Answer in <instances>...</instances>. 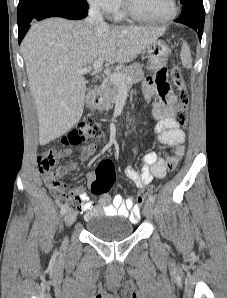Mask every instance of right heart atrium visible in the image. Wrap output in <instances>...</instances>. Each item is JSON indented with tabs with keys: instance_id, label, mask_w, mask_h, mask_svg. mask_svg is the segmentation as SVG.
I'll return each instance as SVG.
<instances>
[{
	"instance_id": "right-heart-atrium-1",
	"label": "right heart atrium",
	"mask_w": 227,
	"mask_h": 298,
	"mask_svg": "<svg viewBox=\"0 0 227 298\" xmlns=\"http://www.w3.org/2000/svg\"><path fill=\"white\" fill-rule=\"evenodd\" d=\"M91 7L104 13L116 14L121 6L120 0H87Z\"/></svg>"
}]
</instances>
